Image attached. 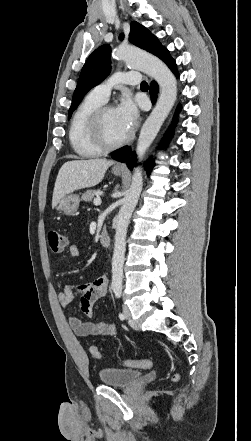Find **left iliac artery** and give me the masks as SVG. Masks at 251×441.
<instances>
[{
    "label": "left iliac artery",
    "instance_id": "1",
    "mask_svg": "<svg viewBox=\"0 0 251 441\" xmlns=\"http://www.w3.org/2000/svg\"><path fill=\"white\" fill-rule=\"evenodd\" d=\"M114 293H115V296L117 297V298H120L121 297V294H122V290L121 289H115L114 290ZM119 319L120 320H124L125 319V315L123 314V313H119Z\"/></svg>",
    "mask_w": 251,
    "mask_h": 441
}]
</instances>
